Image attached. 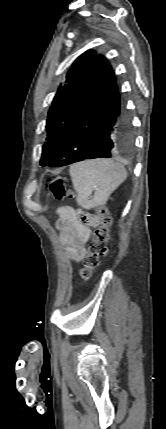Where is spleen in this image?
Segmentation results:
<instances>
[{
	"label": "spleen",
	"instance_id": "obj_1",
	"mask_svg": "<svg viewBox=\"0 0 166 429\" xmlns=\"http://www.w3.org/2000/svg\"><path fill=\"white\" fill-rule=\"evenodd\" d=\"M69 172L77 193V204L88 210L104 206L127 178L125 167L108 159L85 160L71 165Z\"/></svg>",
	"mask_w": 166,
	"mask_h": 429
}]
</instances>
